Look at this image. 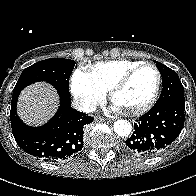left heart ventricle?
Listing matches in <instances>:
<instances>
[{
    "label": "left heart ventricle",
    "mask_w": 196,
    "mask_h": 196,
    "mask_svg": "<svg viewBox=\"0 0 196 196\" xmlns=\"http://www.w3.org/2000/svg\"><path fill=\"white\" fill-rule=\"evenodd\" d=\"M156 82V72L152 68H143L117 93L115 102L126 110L138 107L149 100Z\"/></svg>",
    "instance_id": "b2bd125f"
}]
</instances>
